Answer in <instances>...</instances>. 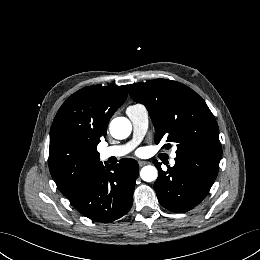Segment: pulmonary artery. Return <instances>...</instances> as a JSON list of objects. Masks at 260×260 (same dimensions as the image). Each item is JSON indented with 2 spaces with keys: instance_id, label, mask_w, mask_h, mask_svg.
Segmentation results:
<instances>
[{
  "instance_id": "pulmonary-artery-1",
  "label": "pulmonary artery",
  "mask_w": 260,
  "mask_h": 260,
  "mask_svg": "<svg viewBox=\"0 0 260 260\" xmlns=\"http://www.w3.org/2000/svg\"><path fill=\"white\" fill-rule=\"evenodd\" d=\"M133 127V139L125 145L111 146L103 148L100 155L104 159L110 157H121L129 153L132 148L141 140L148 127V112L142 105H132L126 110ZM175 155H173L174 157Z\"/></svg>"
}]
</instances>
